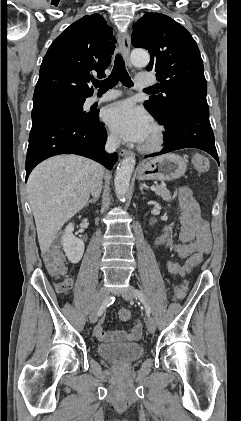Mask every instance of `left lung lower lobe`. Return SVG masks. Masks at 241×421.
<instances>
[{"instance_id":"left-lung-lower-lobe-1","label":"left lung lower lobe","mask_w":241,"mask_h":421,"mask_svg":"<svg viewBox=\"0 0 241 421\" xmlns=\"http://www.w3.org/2000/svg\"><path fill=\"white\" fill-rule=\"evenodd\" d=\"M165 128L167 131L164 134L166 142L164 148L158 153L149 155L150 157L183 148H198L212 155L219 163L207 103L201 101L190 103L177 113L175 123L170 128Z\"/></svg>"}]
</instances>
